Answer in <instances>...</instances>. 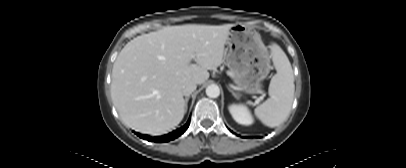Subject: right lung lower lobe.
Here are the masks:
<instances>
[{"mask_svg":"<svg viewBox=\"0 0 406 168\" xmlns=\"http://www.w3.org/2000/svg\"><path fill=\"white\" fill-rule=\"evenodd\" d=\"M189 124H190V118L187 121V123L184 126H182L181 128H178L177 130H174L173 132H171L169 134H166L164 136L154 137V142L162 143V142H168V141H171V140H174V139L178 138L179 136H181L187 130V128L189 127ZM136 134L140 138H142L144 140L151 141L150 137L147 136V135H142V134H139V133H136Z\"/></svg>","mask_w":406,"mask_h":168,"instance_id":"obj_1","label":"right lung lower lobe"}]
</instances>
